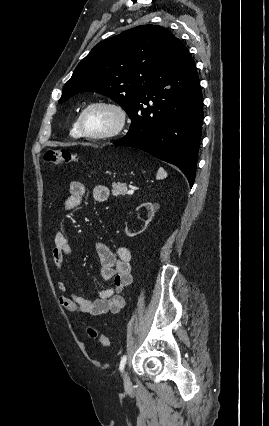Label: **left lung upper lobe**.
<instances>
[{
  "mask_svg": "<svg viewBox=\"0 0 269 426\" xmlns=\"http://www.w3.org/2000/svg\"><path fill=\"white\" fill-rule=\"evenodd\" d=\"M175 41L162 26L141 25L98 43L77 65L59 103L93 91L110 97L128 114Z\"/></svg>",
  "mask_w": 269,
  "mask_h": 426,
  "instance_id": "5c2ea615",
  "label": "left lung upper lobe"
}]
</instances>
